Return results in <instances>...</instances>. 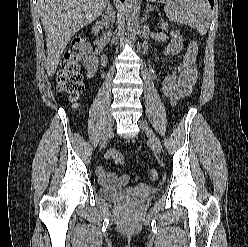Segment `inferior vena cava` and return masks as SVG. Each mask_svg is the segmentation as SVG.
Returning a JSON list of instances; mask_svg holds the SVG:
<instances>
[{
  "label": "inferior vena cava",
  "instance_id": "602c4592",
  "mask_svg": "<svg viewBox=\"0 0 248 247\" xmlns=\"http://www.w3.org/2000/svg\"><path fill=\"white\" fill-rule=\"evenodd\" d=\"M114 20H115V18H114V16L111 18V24L114 22Z\"/></svg>",
  "mask_w": 248,
  "mask_h": 247
}]
</instances>
